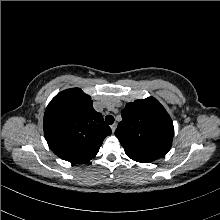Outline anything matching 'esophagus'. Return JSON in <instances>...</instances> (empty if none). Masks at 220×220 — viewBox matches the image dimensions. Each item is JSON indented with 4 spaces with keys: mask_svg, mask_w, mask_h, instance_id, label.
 <instances>
[{
    "mask_svg": "<svg viewBox=\"0 0 220 220\" xmlns=\"http://www.w3.org/2000/svg\"><path fill=\"white\" fill-rule=\"evenodd\" d=\"M116 128H117V124L116 123L111 125V130H112L113 133L115 132Z\"/></svg>",
    "mask_w": 220,
    "mask_h": 220,
    "instance_id": "1",
    "label": "esophagus"
}]
</instances>
